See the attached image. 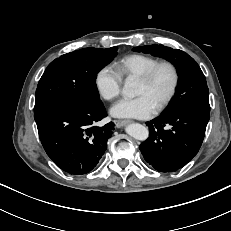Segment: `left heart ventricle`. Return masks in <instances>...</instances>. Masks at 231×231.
<instances>
[{"label":"left heart ventricle","instance_id":"1","mask_svg":"<svg viewBox=\"0 0 231 231\" xmlns=\"http://www.w3.org/2000/svg\"><path fill=\"white\" fill-rule=\"evenodd\" d=\"M172 83V75L168 68H162L150 83L137 82L135 94L145 95L155 107L168 93Z\"/></svg>","mask_w":231,"mask_h":231}]
</instances>
